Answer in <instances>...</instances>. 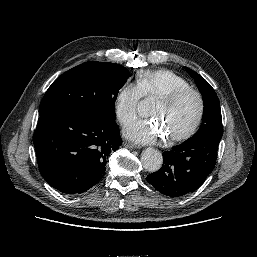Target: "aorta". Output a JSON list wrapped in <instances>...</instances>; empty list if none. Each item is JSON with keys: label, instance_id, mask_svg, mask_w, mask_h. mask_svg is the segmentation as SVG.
<instances>
[{"label": "aorta", "instance_id": "obj_1", "mask_svg": "<svg viewBox=\"0 0 257 257\" xmlns=\"http://www.w3.org/2000/svg\"><path fill=\"white\" fill-rule=\"evenodd\" d=\"M150 110V101L149 100H142L138 104V112L140 115H145ZM141 162L145 170L149 172H156L158 171L163 162L162 154L154 149V148H147L141 155Z\"/></svg>", "mask_w": 257, "mask_h": 257}]
</instances>
